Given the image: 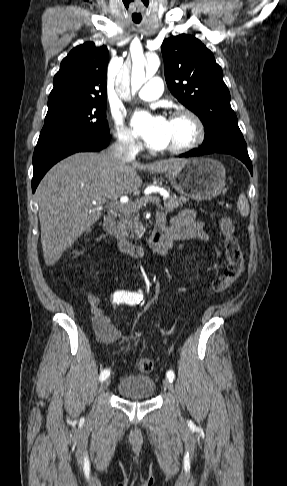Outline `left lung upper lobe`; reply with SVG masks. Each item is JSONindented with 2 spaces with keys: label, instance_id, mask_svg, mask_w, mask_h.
I'll return each instance as SVG.
<instances>
[{
  "label": "left lung upper lobe",
  "instance_id": "5c2ea615",
  "mask_svg": "<svg viewBox=\"0 0 287 486\" xmlns=\"http://www.w3.org/2000/svg\"><path fill=\"white\" fill-rule=\"evenodd\" d=\"M161 49L168 88L204 125L200 149L248 154L222 69L212 52L200 40L186 34L166 39Z\"/></svg>",
  "mask_w": 287,
  "mask_h": 486
}]
</instances>
